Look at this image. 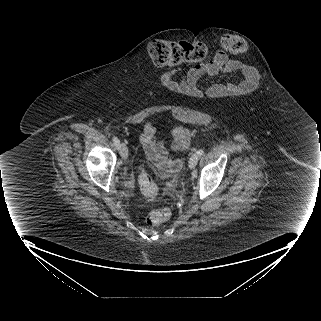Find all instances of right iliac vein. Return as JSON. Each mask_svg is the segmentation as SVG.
Returning <instances> with one entry per match:
<instances>
[{
  "label": "right iliac vein",
  "instance_id": "obj_1",
  "mask_svg": "<svg viewBox=\"0 0 321 321\" xmlns=\"http://www.w3.org/2000/svg\"><path fill=\"white\" fill-rule=\"evenodd\" d=\"M119 150H120V154H121L122 159L126 160L128 157V148H127L126 144L121 143Z\"/></svg>",
  "mask_w": 321,
  "mask_h": 321
}]
</instances>
